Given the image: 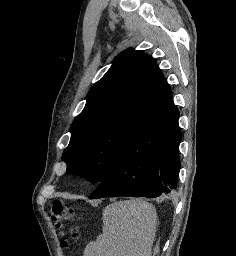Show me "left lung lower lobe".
I'll list each match as a JSON object with an SVG mask.
<instances>
[{
  "label": "left lung lower lobe",
  "instance_id": "0a47b994",
  "mask_svg": "<svg viewBox=\"0 0 236 256\" xmlns=\"http://www.w3.org/2000/svg\"><path fill=\"white\" fill-rule=\"evenodd\" d=\"M179 111L170 100L134 130L108 177L90 195L158 197L176 189L180 170Z\"/></svg>",
  "mask_w": 236,
  "mask_h": 256
}]
</instances>
